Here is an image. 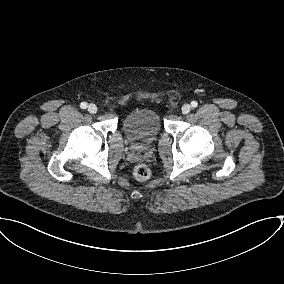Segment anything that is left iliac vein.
<instances>
[{
  "label": "left iliac vein",
  "mask_w": 284,
  "mask_h": 284,
  "mask_svg": "<svg viewBox=\"0 0 284 284\" xmlns=\"http://www.w3.org/2000/svg\"><path fill=\"white\" fill-rule=\"evenodd\" d=\"M190 110H191L190 104H184L182 106V113L183 114H188L190 112Z\"/></svg>",
  "instance_id": "obj_1"
}]
</instances>
